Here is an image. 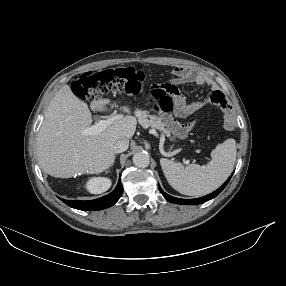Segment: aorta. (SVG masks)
<instances>
[{
    "label": "aorta",
    "instance_id": "aorta-1",
    "mask_svg": "<svg viewBox=\"0 0 286 286\" xmlns=\"http://www.w3.org/2000/svg\"><path fill=\"white\" fill-rule=\"evenodd\" d=\"M133 163L138 168H146L149 166L150 157L146 152H137L133 155Z\"/></svg>",
    "mask_w": 286,
    "mask_h": 286
}]
</instances>
